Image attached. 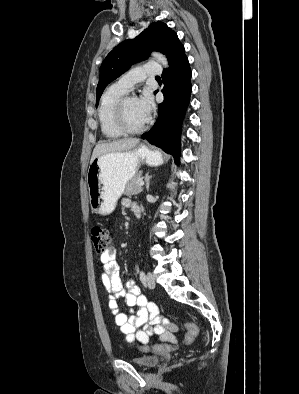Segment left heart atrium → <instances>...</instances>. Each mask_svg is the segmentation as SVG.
<instances>
[{
    "label": "left heart atrium",
    "instance_id": "39dd6f15",
    "mask_svg": "<svg viewBox=\"0 0 299 394\" xmlns=\"http://www.w3.org/2000/svg\"><path fill=\"white\" fill-rule=\"evenodd\" d=\"M136 100H137L138 107L141 110L142 114L146 118H148L154 108L152 97L150 96V94L145 93L142 96H140L139 98H137Z\"/></svg>",
    "mask_w": 299,
    "mask_h": 394
}]
</instances>
